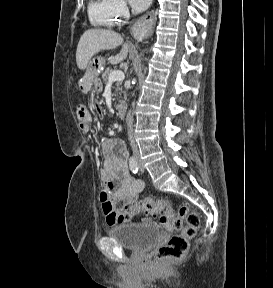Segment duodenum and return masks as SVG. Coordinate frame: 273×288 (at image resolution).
<instances>
[{
	"instance_id": "1",
	"label": "duodenum",
	"mask_w": 273,
	"mask_h": 288,
	"mask_svg": "<svg viewBox=\"0 0 273 288\" xmlns=\"http://www.w3.org/2000/svg\"><path fill=\"white\" fill-rule=\"evenodd\" d=\"M116 113L120 119H123L126 114V104L125 102H119L116 107Z\"/></svg>"
}]
</instances>
